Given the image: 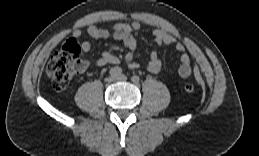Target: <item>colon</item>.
Returning a JSON list of instances; mask_svg holds the SVG:
<instances>
[{"instance_id": "1", "label": "colon", "mask_w": 259, "mask_h": 156, "mask_svg": "<svg viewBox=\"0 0 259 156\" xmlns=\"http://www.w3.org/2000/svg\"><path fill=\"white\" fill-rule=\"evenodd\" d=\"M80 55V45L75 40H69L49 60L46 73L57 90L66 89L71 80L86 69L87 62L82 60ZM184 91L187 94L193 93L194 84L186 82L184 84Z\"/></svg>"}]
</instances>
